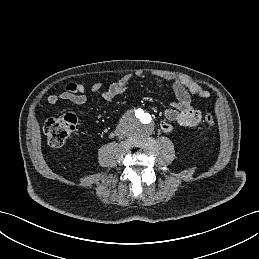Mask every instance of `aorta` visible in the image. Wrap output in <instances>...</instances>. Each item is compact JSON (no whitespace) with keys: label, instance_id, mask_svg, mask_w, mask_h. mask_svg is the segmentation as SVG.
<instances>
[{"label":"aorta","instance_id":"1","mask_svg":"<svg viewBox=\"0 0 259 259\" xmlns=\"http://www.w3.org/2000/svg\"><path fill=\"white\" fill-rule=\"evenodd\" d=\"M123 126L130 136L137 138L149 136L154 127L153 115L146 109H134L124 119Z\"/></svg>","mask_w":259,"mask_h":259}]
</instances>
